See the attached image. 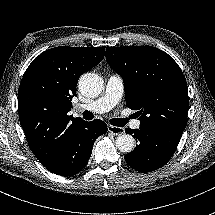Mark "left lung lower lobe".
<instances>
[{"label":"left lung lower lobe","instance_id":"left-lung-lower-lobe-1","mask_svg":"<svg viewBox=\"0 0 215 215\" xmlns=\"http://www.w3.org/2000/svg\"><path fill=\"white\" fill-rule=\"evenodd\" d=\"M184 129L177 127H143L125 129L139 141L135 149L125 155L126 163L139 172L163 167L173 156Z\"/></svg>","mask_w":215,"mask_h":215}]
</instances>
